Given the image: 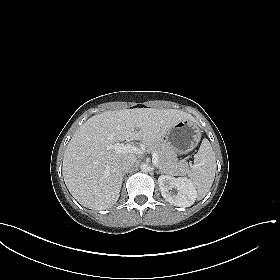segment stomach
Segmentation results:
<instances>
[{
  "label": "stomach",
  "instance_id": "stomach-1",
  "mask_svg": "<svg viewBox=\"0 0 280 280\" xmlns=\"http://www.w3.org/2000/svg\"><path fill=\"white\" fill-rule=\"evenodd\" d=\"M201 138L199 127L191 120L176 123L167 133L166 141L174 151L188 153L192 151Z\"/></svg>",
  "mask_w": 280,
  "mask_h": 280
}]
</instances>
